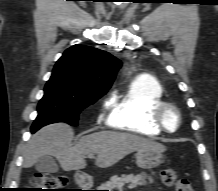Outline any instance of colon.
<instances>
[{"mask_svg": "<svg viewBox=\"0 0 218 191\" xmlns=\"http://www.w3.org/2000/svg\"><path fill=\"white\" fill-rule=\"evenodd\" d=\"M164 185L174 188L175 191H194L190 181L176 175L171 168H164L160 172ZM67 179L64 176L49 173H38L34 176L32 188L26 191H66Z\"/></svg>", "mask_w": 218, "mask_h": 191, "instance_id": "5ec220e1", "label": "colon"}]
</instances>
